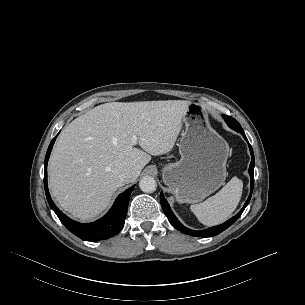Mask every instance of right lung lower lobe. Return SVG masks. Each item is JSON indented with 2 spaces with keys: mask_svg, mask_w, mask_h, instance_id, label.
<instances>
[{
  "mask_svg": "<svg viewBox=\"0 0 305 305\" xmlns=\"http://www.w3.org/2000/svg\"><path fill=\"white\" fill-rule=\"evenodd\" d=\"M57 136L51 141L46 157H45V169H44V185L47 201L56 213L61 222L75 235L86 241H98L110 238L116 235L123 227L127 214L128 202L130 193L134 186L125 190L118 196L109 212L101 219L88 224L78 223L73 221L64 215L53 203L47 186V163L52 150L53 144Z\"/></svg>",
  "mask_w": 305,
  "mask_h": 305,
  "instance_id": "obj_1",
  "label": "right lung lower lobe"
}]
</instances>
